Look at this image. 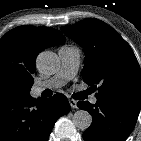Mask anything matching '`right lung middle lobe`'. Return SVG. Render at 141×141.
Segmentation results:
<instances>
[{"label":"right lung middle lobe","instance_id":"dd1d6c3e","mask_svg":"<svg viewBox=\"0 0 141 141\" xmlns=\"http://www.w3.org/2000/svg\"><path fill=\"white\" fill-rule=\"evenodd\" d=\"M33 81V78L24 74H8L0 77V100L28 96Z\"/></svg>","mask_w":141,"mask_h":141}]
</instances>
